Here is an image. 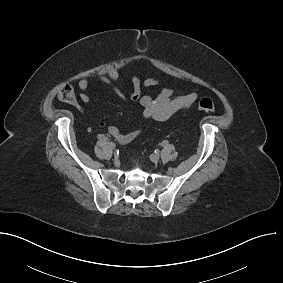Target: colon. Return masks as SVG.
Wrapping results in <instances>:
<instances>
[{
	"label": "colon",
	"mask_w": 283,
	"mask_h": 283,
	"mask_svg": "<svg viewBox=\"0 0 283 283\" xmlns=\"http://www.w3.org/2000/svg\"><path fill=\"white\" fill-rule=\"evenodd\" d=\"M58 98L65 103H74L76 95L73 87L69 84H65L58 90ZM198 108L202 111L213 112L215 111V104L210 98H204L200 100Z\"/></svg>",
	"instance_id": "colon-1"
}]
</instances>
